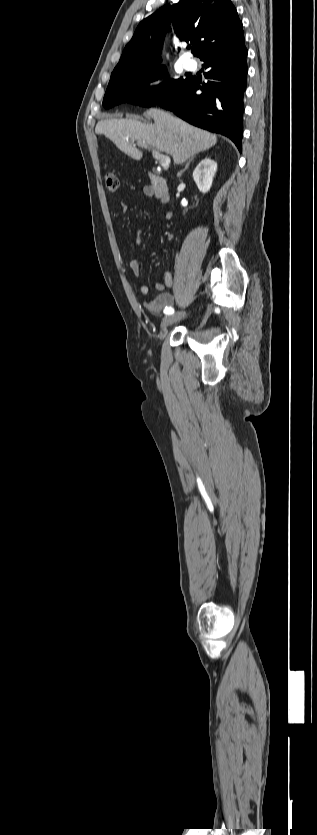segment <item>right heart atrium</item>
Returning <instances> with one entry per match:
<instances>
[{
    "instance_id": "d8ad5b80",
    "label": "right heart atrium",
    "mask_w": 317,
    "mask_h": 835,
    "mask_svg": "<svg viewBox=\"0 0 317 835\" xmlns=\"http://www.w3.org/2000/svg\"><path fill=\"white\" fill-rule=\"evenodd\" d=\"M166 77L161 73H155L144 82V89L147 94L157 96L165 91Z\"/></svg>"
}]
</instances>
